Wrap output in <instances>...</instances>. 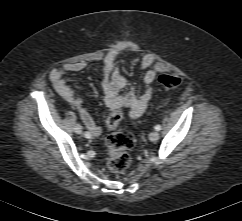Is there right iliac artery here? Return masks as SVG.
<instances>
[{
	"label": "right iliac artery",
	"mask_w": 242,
	"mask_h": 221,
	"mask_svg": "<svg viewBox=\"0 0 242 221\" xmlns=\"http://www.w3.org/2000/svg\"><path fill=\"white\" fill-rule=\"evenodd\" d=\"M84 136H85L86 138H90V137H91V135H90L89 132H85V133H84Z\"/></svg>",
	"instance_id": "right-iliac-artery-1"
}]
</instances>
